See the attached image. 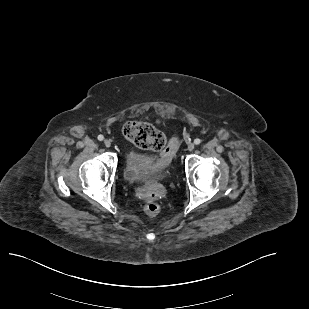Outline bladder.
<instances>
[{
    "mask_svg": "<svg viewBox=\"0 0 309 309\" xmlns=\"http://www.w3.org/2000/svg\"><path fill=\"white\" fill-rule=\"evenodd\" d=\"M165 165H158L154 156L131 149L126 153L124 178L132 183H145L168 175Z\"/></svg>",
    "mask_w": 309,
    "mask_h": 309,
    "instance_id": "obj_1",
    "label": "bladder"
}]
</instances>
